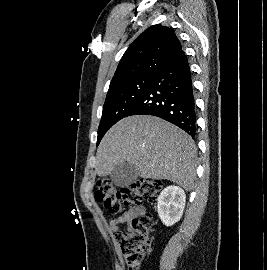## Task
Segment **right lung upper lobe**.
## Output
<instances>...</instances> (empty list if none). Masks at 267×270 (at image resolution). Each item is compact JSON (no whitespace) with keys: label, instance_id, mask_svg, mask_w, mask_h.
Listing matches in <instances>:
<instances>
[{"label":"right lung upper lobe","instance_id":"1","mask_svg":"<svg viewBox=\"0 0 267 270\" xmlns=\"http://www.w3.org/2000/svg\"><path fill=\"white\" fill-rule=\"evenodd\" d=\"M182 46L169 27L153 25L140 34L122 56L110 88L142 75H155Z\"/></svg>","mask_w":267,"mask_h":270}]
</instances>
